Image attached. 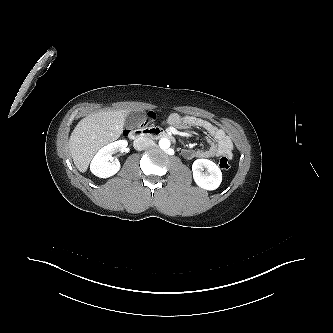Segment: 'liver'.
Segmentation results:
<instances>
[{
	"label": "liver",
	"mask_w": 333,
	"mask_h": 333,
	"mask_svg": "<svg viewBox=\"0 0 333 333\" xmlns=\"http://www.w3.org/2000/svg\"><path fill=\"white\" fill-rule=\"evenodd\" d=\"M128 116L126 110L101 111L83 118L70 136L71 155L80 172H85L96 152L118 139Z\"/></svg>",
	"instance_id": "obj_1"
}]
</instances>
